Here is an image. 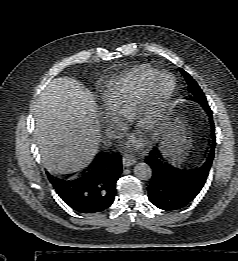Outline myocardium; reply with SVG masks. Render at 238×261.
<instances>
[{
  "instance_id": "myocardium-1",
  "label": "myocardium",
  "mask_w": 238,
  "mask_h": 261,
  "mask_svg": "<svg viewBox=\"0 0 238 261\" xmlns=\"http://www.w3.org/2000/svg\"><path fill=\"white\" fill-rule=\"evenodd\" d=\"M161 76H167L171 80V86L167 93L160 99L152 98L153 84ZM177 81L169 71L155 72L144 84L139 100L132 112V122L135 126H143L149 132L153 131L164 117L165 111L176 91Z\"/></svg>"
}]
</instances>
